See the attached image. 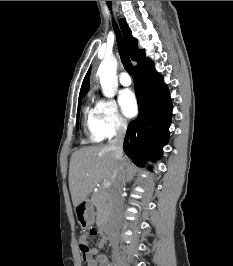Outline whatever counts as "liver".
I'll list each match as a JSON object with an SVG mask.
<instances>
[{"instance_id":"6515ba94","label":"liver","mask_w":233,"mask_h":266,"mask_svg":"<svg viewBox=\"0 0 233 266\" xmlns=\"http://www.w3.org/2000/svg\"><path fill=\"white\" fill-rule=\"evenodd\" d=\"M126 167L129 160L123 156ZM121 162L109 144L84 147L75 151L70 159L69 189L75 207L91 194L101 180L112 183L119 172Z\"/></svg>"}]
</instances>
